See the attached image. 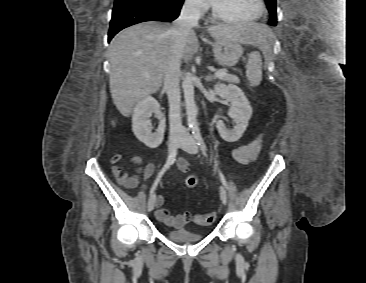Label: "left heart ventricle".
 <instances>
[{"mask_svg":"<svg viewBox=\"0 0 366 283\" xmlns=\"http://www.w3.org/2000/svg\"><path fill=\"white\" fill-rule=\"evenodd\" d=\"M216 8L223 14L234 18H250L259 10L258 0H214Z\"/></svg>","mask_w":366,"mask_h":283,"instance_id":"obj_1","label":"left heart ventricle"}]
</instances>
